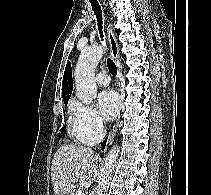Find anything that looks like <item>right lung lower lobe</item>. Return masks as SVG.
Masks as SVG:
<instances>
[{"mask_svg":"<svg viewBox=\"0 0 211 195\" xmlns=\"http://www.w3.org/2000/svg\"><path fill=\"white\" fill-rule=\"evenodd\" d=\"M107 140V139H106ZM106 140L103 142V144H102V146H105V144H106ZM103 149V148H102Z\"/></svg>","mask_w":211,"mask_h":195,"instance_id":"98d812e1","label":"right lung lower lobe"}]
</instances>
